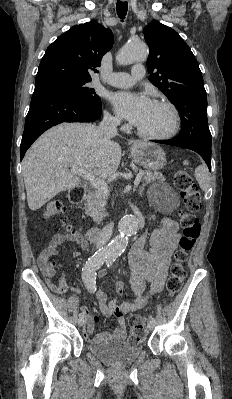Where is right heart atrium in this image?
Segmentation results:
<instances>
[{
	"mask_svg": "<svg viewBox=\"0 0 232 399\" xmlns=\"http://www.w3.org/2000/svg\"><path fill=\"white\" fill-rule=\"evenodd\" d=\"M106 119L108 122H119V119L117 117L111 116L110 114L106 115Z\"/></svg>",
	"mask_w": 232,
	"mask_h": 399,
	"instance_id": "d8ad5b80",
	"label": "right heart atrium"
}]
</instances>
